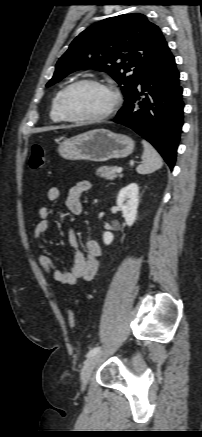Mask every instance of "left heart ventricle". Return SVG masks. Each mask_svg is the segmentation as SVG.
<instances>
[{"instance_id": "1", "label": "left heart ventricle", "mask_w": 202, "mask_h": 437, "mask_svg": "<svg viewBox=\"0 0 202 437\" xmlns=\"http://www.w3.org/2000/svg\"><path fill=\"white\" fill-rule=\"evenodd\" d=\"M112 103L111 94L98 86L84 84L66 97L65 106L75 116L92 117L104 113Z\"/></svg>"}]
</instances>
